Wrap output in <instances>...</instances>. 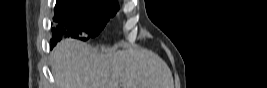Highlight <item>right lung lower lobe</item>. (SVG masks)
<instances>
[{
    "mask_svg": "<svg viewBox=\"0 0 267 88\" xmlns=\"http://www.w3.org/2000/svg\"><path fill=\"white\" fill-rule=\"evenodd\" d=\"M58 31H61V36H62L61 39L67 35V30H66L65 27H61V26H59V27H58ZM61 39H60V40H61ZM60 40H59V41H60ZM57 42H58V41H57ZM57 42H55L54 45H55Z\"/></svg>",
    "mask_w": 267,
    "mask_h": 88,
    "instance_id": "98d812e1",
    "label": "right lung lower lobe"
}]
</instances>
